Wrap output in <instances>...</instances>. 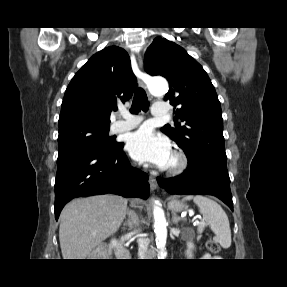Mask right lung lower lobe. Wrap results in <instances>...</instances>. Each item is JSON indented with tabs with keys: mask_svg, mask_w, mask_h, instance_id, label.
Listing matches in <instances>:
<instances>
[{
	"mask_svg": "<svg viewBox=\"0 0 287 287\" xmlns=\"http://www.w3.org/2000/svg\"><path fill=\"white\" fill-rule=\"evenodd\" d=\"M120 143L113 152L73 149L58 154L55 218L76 197L112 193L124 197L149 196L148 175L131 167Z\"/></svg>",
	"mask_w": 287,
	"mask_h": 287,
	"instance_id": "right-lung-lower-lobe-1",
	"label": "right lung lower lobe"
}]
</instances>
